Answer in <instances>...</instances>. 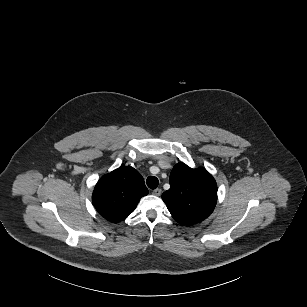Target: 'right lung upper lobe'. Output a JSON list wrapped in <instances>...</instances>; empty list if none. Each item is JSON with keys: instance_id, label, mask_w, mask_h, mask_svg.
<instances>
[{"instance_id": "obj_1", "label": "right lung upper lobe", "mask_w": 307, "mask_h": 307, "mask_svg": "<svg viewBox=\"0 0 307 307\" xmlns=\"http://www.w3.org/2000/svg\"><path fill=\"white\" fill-rule=\"evenodd\" d=\"M147 194L148 189L139 172L131 166H123L98 181L92 201L105 219L119 222L128 217L141 197Z\"/></svg>"}]
</instances>
